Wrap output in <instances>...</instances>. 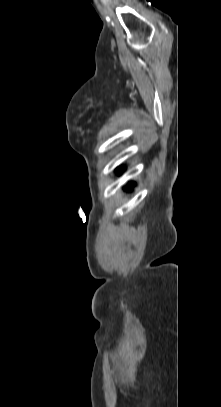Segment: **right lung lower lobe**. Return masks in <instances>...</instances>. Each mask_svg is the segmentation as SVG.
Returning a JSON list of instances; mask_svg holds the SVG:
<instances>
[{
    "label": "right lung lower lobe",
    "instance_id": "1",
    "mask_svg": "<svg viewBox=\"0 0 221 407\" xmlns=\"http://www.w3.org/2000/svg\"><path fill=\"white\" fill-rule=\"evenodd\" d=\"M123 169H124V168H123ZM116 171H117L118 174L121 173V171H120L119 169H117ZM131 185H133V183H132Z\"/></svg>",
    "mask_w": 221,
    "mask_h": 407
}]
</instances>
